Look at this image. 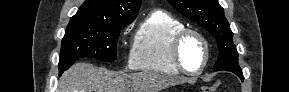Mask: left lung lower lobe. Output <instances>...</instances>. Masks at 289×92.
<instances>
[{"instance_id":"0a47b994","label":"left lung lower lobe","mask_w":289,"mask_h":92,"mask_svg":"<svg viewBox=\"0 0 289 92\" xmlns=\"http://www.w3.org/2000/svg\"><path fill=\"white\" fill-rule=\"evenodd\" d=\"M235 74L243 81L244 77H243V73L242 72H235Z\"/></svg>"}]
</instances>
